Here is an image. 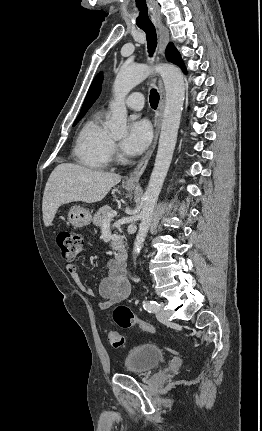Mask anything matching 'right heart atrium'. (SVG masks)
Returning <instances> with one entry per match:
<instances>
[{
	"mask_svg": "<svg viewBox=\"0 0 262 431\" xmlns=\"http://www.w3.org/2000/svg\"><path fill=\"white\" fill-rule=\"evenodd\" d=\"M116 153H117V145L113 141H111L110 148H109L110 157L114 156Z\"/></svg>",
	"mask_w": 262,
	"mask_h": 431,
	"instance_id": "right-heart-atrium-1",
	"label": "right heart atrium"
}]
</instances>
